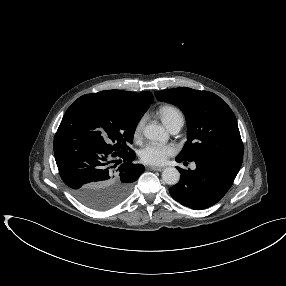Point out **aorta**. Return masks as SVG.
I'll use <instances>...</instances> for the list:
<instances>
[{
    "instance_id": "1",
    "label": "aorta",
    "mask_w": 286,
    "mask_h": 286,
    "mask_svg": "<svg viewBox=\"0 0 286 286\" xmlns=\"http://www.w3.org/2000/svg\"><path fill=\"white\" fill-rule=\"evenodd\" d=\"M144 136L150 140L166 141L168 133L157 124H149L144 128ZM180 173L175 167H167L162 172V180L168 185H175L179 182Z\"/></svg>"
}]
</instances>
